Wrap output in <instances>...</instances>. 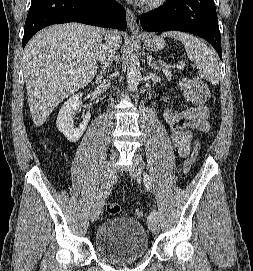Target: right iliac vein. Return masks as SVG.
<instances>
[{"label": "right iliac vein", "mask_w": 253, "mask_h": 271, "mask_svg": "<svg viewBox=\"0 0 253 271\" xmlns=\"http://www.w3.org/2000/svg\"><path fill=\"white\" fill-rule=\"evenodd\" d=\"M117 159V153L113 152L110 156V161L108 162L103 178H102V186L100 193L97 197V201L93 205L92 211H91V221L94 222L98 219L104 204H105V198L107 194V189L111 185L114 179V173H115V161Z\"/></svg>", "instance_id": "1"}]
</instances>
